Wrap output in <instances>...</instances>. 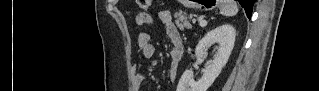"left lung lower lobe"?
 Here are the masks:
<instances>
[{
    "instance_id": "0a47b994",
    "label": "left lung lower lobe",
    "mask_w": 319,
    "mask_h": 91,
    "mask_svg": "<svg viewBox=\"0 0 319 91\" xmlns=\"http://www.w3.org/2000/svg\"><path fill=\"white\" fill-rule=\"evenodd\" d=\"M238 2L245 9L246 15L250 19L252 14V7H253V4L255 3V0H238Z\"/></svg>"
}]
</instances>
